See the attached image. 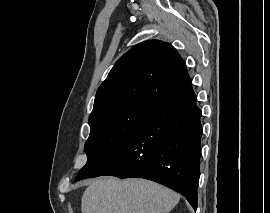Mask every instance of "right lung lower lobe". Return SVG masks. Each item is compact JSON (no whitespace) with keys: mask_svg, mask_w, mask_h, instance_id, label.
I'll use <instances>...</instances> for the list:
<instances>
[{"mask_svg":"<svg viewBox=\"0 0 270 213\" xmlns=\"http://www.w3.org/2000/svg\"><path fill=\"white\" fill-rule=\"evenodd\" d=\"M201 110L191 83L159 102L134 134L93 176L138 177L182 194L197 209Z\"/></svg>","mask_w":270,"mask_h":213,"instance_id":"1","label":"right lung lower lobe"}]
</instances>
